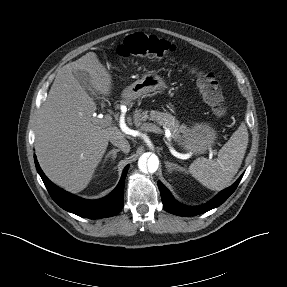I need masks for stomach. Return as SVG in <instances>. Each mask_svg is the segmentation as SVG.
Returning <instances> with one entry per match:
<instances>
[{"instance_id": "0dacf381", "label": "stomach", "mask_w": 287, "mask_h": 287, "mask_svg": "<svg viewBox=\"0 0 287 287\" xmlns=\"http://www.w3.org/2000/svg\"><path fill=\"white\" fill-rule=\"evenodd\" d=\"M165 88L167 85L162 77L155 73H147L141 79L127 86L122 92V97L125 101L130 102L147 93ZM216 138L217 133L209 124L197 123L183 134L180 143L186 151L204 153L212 147Z\"/></svg>"}]
</instances>
